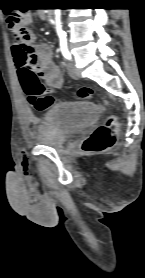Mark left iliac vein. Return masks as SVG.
<instances>
[{"mask_svg": "<svg viewBox=\"0 0 145 278\" xmlns=\"http://www.w3.org/2000/svg\"><path fill=\"white\" fill-rule=\"evenodd\" d=\"M67 71L72 78L77 79L79 77V72L72 62L67 63Z\"/></svg>", "mask_w": 145, "mask_h": 278, "instance_id": "obj_1", "label": "left iliac vein"}]
</instances>
